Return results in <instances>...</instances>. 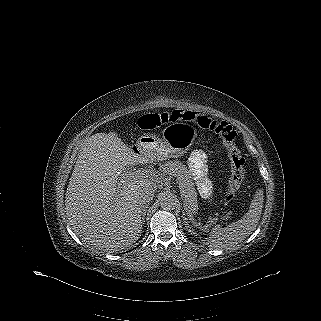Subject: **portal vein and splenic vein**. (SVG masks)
Returning a JSON list of instances; mask_svg holds the SVG:
<instances>
[{"instance_id": "obj_1", "label": "portal vein and splenic vein", "mask_w": 321, "mask_h": 321, "mask_svg": "<svg viewBox=\"0 0 321 321\" xmlns=\"http://www.w3.org/2000/svg\"><path fill=\"white\" fill-rule=\"evenodd\" d=\"M132 176H142V177H151L155 176V173L150 170H139L131 173Z\"/></svg>"}]
</instances>
